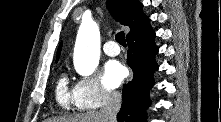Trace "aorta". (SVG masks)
<instances>
[{"instance_id": "762f6f07", "label": "aorta", "mask_w": 221, "mask_h": 122, "mask_svg": "<svg viewBox=\"0 0 221 122\" xmlns=\"http://www.w3.org/2000/svg\"><path fill=\"white\" fill-rule=\"evenodd\" d=\"M100 57V32L93 21L82 22L74 49V67L82 76L91 75L98 66Z\"/></svg>"}]
</instances>
